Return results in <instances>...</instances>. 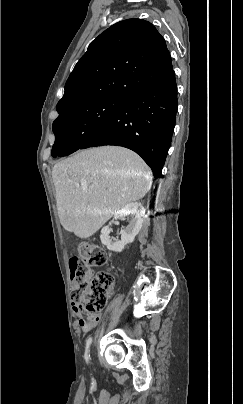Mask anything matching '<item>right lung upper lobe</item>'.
Segmentation results:
<instances>
[{"label": "right lung upper lobe", "instance_id": "obj_1", "mask_svg": "<svg viewBox=\"0 0 243 404\" xmlns=\"http://www.w3.org/2000/svg\"><path fill=\"white\" fill-rule=\"evenodd\" d=\"M170 59L164 38L151 23L118 22L93 40L77 62L57 111L61 115L102 98L126 99L167 77L173 71Z\"/></svg>", "mask_w": 243, "mask_h": 404}]
</instances>
